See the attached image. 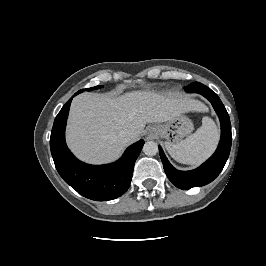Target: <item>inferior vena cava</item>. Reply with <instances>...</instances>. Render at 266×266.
Segmentation results:
<instances>
[{
	"label": "inferior vena cava",
	"instance_id": "inferior-vena-cava-1",
	"mask_svg": "<svg viewBox=\"0 0 266 266\" xmlns=\"http://www.w3.org/2000/svg\"><path fill=\"white\" fill-rule=\"evenodd\" d=\"M118 136L120 140L124 143H128L131 140V132L128 130H121Z\"/></svg>",
	"mask_w": 266,
	"mask_h": 266
}]
</instances>
